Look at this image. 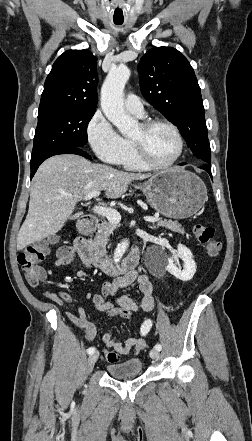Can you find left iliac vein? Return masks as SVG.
<instances>
[{"instance_id":"1","label":"left iliac vein","mask_w":252,"mask_h":441,"mask_svg":"<svg viewBox=\"0 0 252 441\" xmlns=\"http://www.w3.org/2000/svg\"><path fill=\"white\" fill-rule=\"evenodd\" d=\"M150 357L153 359V360H159L160 359V353H159V351L158 350H156V349H152L151 351H150Z\"/></svg>"}]
</instances>
